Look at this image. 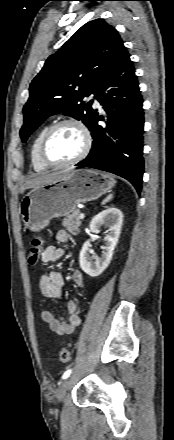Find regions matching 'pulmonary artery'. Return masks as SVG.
Here are the masks:
<instances>
[{"label": "pulmonary artery", "instance_id": "obj_1", "mask_svg": "<svg viewBox=\"0 0 174 440\" xmlns=\"http://www.w3.org/2000/svg\"><path fill=\"white\" fill-rule=\"evenodd\" d=\"M90 99L93 100V103H94V105H95L96 107L101 108L99 102H98L97 99L94 97V95H91V96H90Z\"/></svg>", "mask_w": 174, "mask_h": 440}]
</instances>
